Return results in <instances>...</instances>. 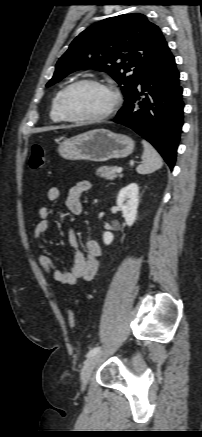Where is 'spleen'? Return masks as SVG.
<instances>
[{
  "label": "spleen",
  "instance_id": "obj_1",
  "mask_svg": "<svg viewBox=\"0 0 202 437\" xmlns=\"http://www.w3.org/2000/svg\"><path fill=\"white\" fill-rule=\"evenodd\" d=\"M144 152L142 162L136 168L139 174H150L163 166L162 158L155 148L146 140H142Z\"/></svg>",
  "mask_w": 202,
  "mask_h": 437
}]
</instances>
